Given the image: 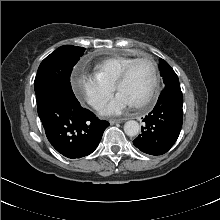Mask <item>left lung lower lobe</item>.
<instances>
[{
  "mask_svg": "<svg viewBox=\"0 0 220 220\" xmlns=\"http://www.w3.org/2000/svg\"><path fill=\"white\" fill-rule=\"evenodd\" d=\"M183 95L180 85L165 87L153 110L144 118L145 126L133 144L150 155L166 153L176 142L182 127Z\"/></svg>",
  "mask_w": 220,
  "mask_h": 220,
  "instance_id": "0a47b994",
  "label": "left lung lower lobe"
}]
</instances>
